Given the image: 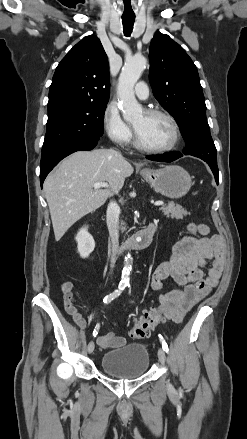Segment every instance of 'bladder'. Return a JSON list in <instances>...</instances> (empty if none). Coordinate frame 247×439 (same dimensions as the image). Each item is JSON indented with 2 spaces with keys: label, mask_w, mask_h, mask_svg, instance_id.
Here are the masks:
<instances>
[{
  "label": "bladder",
  "mask_w": 247,
  "mask_h": 439,
  "mask_svg": "<svg viewBox=\"0 0 247 439\" xmlns=\"http://www.w3.org/2000/svg\"><path fill=\"white\" fill-rule=\"evenodd\" d=\"M149 352L143 344H127L108 351L101 358L102 370L115 378L134 379L144 375L149 368Z\"/></svg>",
  "instance_id": "obj_1"
}]
</instances>
